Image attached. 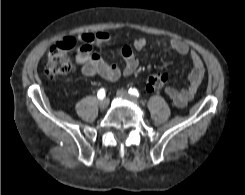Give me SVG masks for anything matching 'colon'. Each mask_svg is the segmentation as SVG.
I'll use <instances>...</instances> for the list:
<instances>
[{"label": "colon", "instance_id": "obj_1", "mask_svg": "<svg viewBox=\"0 0 245 195\" xmlns=\"http://www.w3.org/2000/svg\"><path fill=\"white\" fill-rule=\"evenodd\" d=\"M74 46L75 40L66 38L51 47L46 66V74L50 78L61 79L70 73L74 64ZM167 80V74L152 73L147 78L146 89L149 92H157L164 87Z\"/></svg>", "mask_w": 245, "mask_h": 195}]
</instances>
